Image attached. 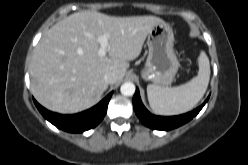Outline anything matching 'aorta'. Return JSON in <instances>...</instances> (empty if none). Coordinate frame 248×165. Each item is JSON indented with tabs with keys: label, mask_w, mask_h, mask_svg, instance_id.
<instances>
[{
	"label": "aorta",
	"mask_w": 248,
	"mask_h": 165,
	"mask_svg": "<svg viewBox=\"0 0 248 165\" xmlns=\"http://www.w3.org/2000/svg\"><path fill=\"white\" fill-rule=\"evenodd\" d=\"M135 85L132 82H125L121 85L120 91L125 96H132L135 93Z\"/></svg>",
	"instance_id": "obj_1"
}]
</instances>
